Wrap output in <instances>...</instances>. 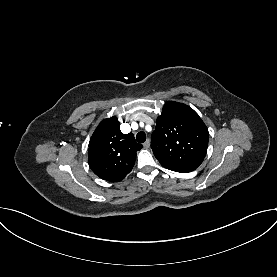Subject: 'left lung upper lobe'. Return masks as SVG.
Instances as JSON below:
<instances>
[{
	"label": "left lung upper lobe",
	"mask_w": 277,
	"mask_h": 277,
	"mask_svg": "<svg viewBox=\"0 0 277 277\" xmlns=\"http://www.w3.org/2000/svg\"><path fill=\"white\" fill-rule=\"evenodd\" d=\"M209 132L189 106L169 101L157 118L151 148L160 164L172 171L188 173L204 160Z\"/></svg>",
	"instance_id": "obj_1"
}]
</instances>
